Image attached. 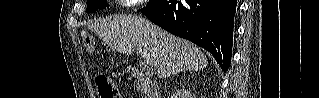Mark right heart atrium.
Returning a JSON list of instances; mask_svg holds the SVG:
<instances>
[{
  "label": "right heart atrium",
  "instance_id": "d8ad5b80",
  "mask_svg": "<svg viewBox=\"0 0 319 98\" xmlns=\"http://www.w3.org/2000/svg\"><path fill=\"white\" fill-rule=\"evenodd\" d=\"M124 2L127 3L128 5H135V4L139 3L140 1L129 0V1H124Z\"/></svg>",
  "mask_w": 319,
  "mask_h": 98
}]
</instances>
